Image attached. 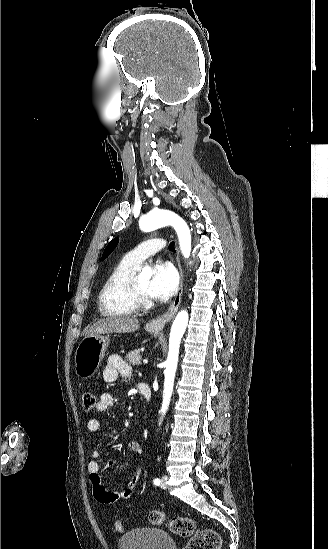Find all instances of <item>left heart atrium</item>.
I'll list each match as a JSON object with an SVG mask.
<instances>
[{
    "label": "left heart atrium",
    "instance_id": "obj_1",
    "mask_svg": "<svg viewBox=\"0 0 328 549\" xmlns=\"http://www.w3.org/2000/svg\"><path fill=\"white\" fill-rule=\"evenodd\" d=\"M179 286V275L175 267L168 262L157 264L150 275L149 295L154 300H167Z\"/></svg>",
    "mask_w": 328,
    "mask_h": 549
}]
</instances>
